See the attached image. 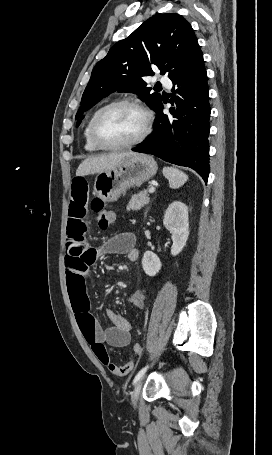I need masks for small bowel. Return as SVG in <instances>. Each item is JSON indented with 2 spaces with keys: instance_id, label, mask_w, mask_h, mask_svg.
I'll return each instance as SVG.
<instances>
[{
  "instance_id": "obj_1",
  "label": "small bowel",
  "mask_w": 272,
  "mask_h": 455,
  "mask_svg": "<svg viewBox=\"0 0 272 455\" xmlns=\"http://www.w3.org/2000/svg\"><path fill=\"white\" fill-rule=\"evenodd\" d=\"M89 200V184L85 177L73 178L68 212L65 267L68 292L78 326L86 342L98 360L115 376H125L134 368L131 357L124 365L111 362L108 346L122 348L131 341V324L127 318L106 309V316L111 322L108 328H102L90 310L86 279L89 268L96 262L100 254L127 255L130 261L139 258L135 235L122 232L110 237L98 249L90 247L86 242V217ZM128 301L137 308H143L145 294L135 290L128 296Z\"/></svg>"
}]
</instances>
